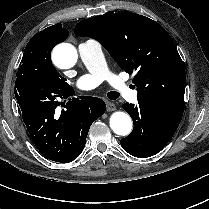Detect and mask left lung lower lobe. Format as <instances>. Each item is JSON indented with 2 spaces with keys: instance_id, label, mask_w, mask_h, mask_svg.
Returning a JSON list of instances; mask_svg holds the SVG:
<instances>
[{
  "instance_id": "0a47b994",
  "label": "left lung lower lobe",
  "mask_w": 209,
  "mask_h": 209,
  "mask_svg": "<svg viewBox=\"0 0 209 209\" xmlns=\"http://www.w3.org/2000/svg\"><path fill=\"white\" fill-rule=\"evenodd\" d=\"M123 109L133 120V131L120 143L134 157L147 158L162 150L172 138L182 119L174 113L138 101V105L125 103Z\"/></svg>"
}]
</instances>
